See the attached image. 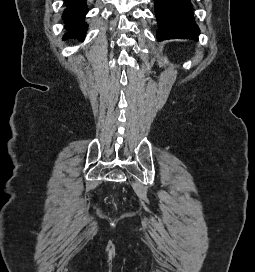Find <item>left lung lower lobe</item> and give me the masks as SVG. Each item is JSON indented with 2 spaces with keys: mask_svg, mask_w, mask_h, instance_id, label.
<instances>
[{
  "mask_svg": "<svg viewBox=\"0 0 255 272\" xmlns=\"http://www.w3.org/2000/svg\"><path fill=\"white\" fill-rule=\"evenodd\" d=\"M158 40L197 39L200 33L190 0H154Z\"/></svg>",
  "mask_w": 255,
  "mask_h": 272,
  "instance_id": "obj_1",
  "label": "left lung lower lobe"
}]
</instances>
